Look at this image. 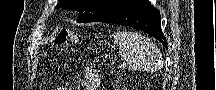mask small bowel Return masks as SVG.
Returning <instances> with one entry per match:
<instances>
[{
    "instance_id": "1",
    "label": "small bowel",
    "mask_w": 216,
    "mask_h": 90,
    "mask_svg": "<svg viewBox=\"0 0 216 90\" xmlns=\"http://www.w3.org/2000/svg\"><path fill=\"white\" fill-rule=\"evenodd\" d=\"M99 82H100V78L98 73L95 70L88 68L85 70L82 79V83H81L82 90H96L97 87L99 86ZM53 90H70V89L66 85H60Z\"/></svg>"
}]
</instances>
